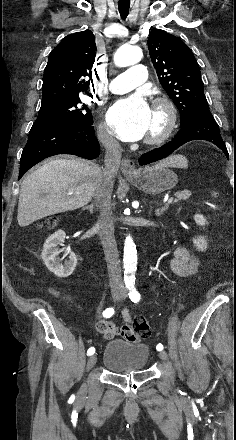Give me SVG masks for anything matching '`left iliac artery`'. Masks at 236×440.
<instances>
[{
    "mask_svg": "<svg viewBox=\"0 0 236 440\" xmlns=\"http://www.w3.org/2000/svg\"><path fill=\"white\" fill-rule=\"evenodd\" d=\"M129 298L131 299L132 302L137 303L140 301L141 295L140 293L136 290L134 285L129 286ZM156 349L158 351H162L163 350V345L162 344H158L156 346Z\"/></svg>",
    "mask_w": 236,
    "mask_h": 440,
    "instance_id": "44dca946",
    "label": "left iliac artery"
}]
</instances>
